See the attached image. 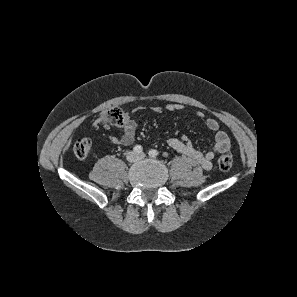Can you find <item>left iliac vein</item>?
Instances as JSON below:
<instances>
[{
    "mask_svg": "<svg viewBox=\"0 0 297 297\" xmlns=\"http://www.w3.org/2000/svg\"><path fill=\"white\" fill-rule=\"evenodd\" d=\"M145 156H146L145 153H140V154L138 155V158H139V159H143Z\"/></svg>",
    "mask_w": 297,
    "mask_h": 297,
    "instance_id": "1",
    "label": "left iliac vein"
}]
</instances>
